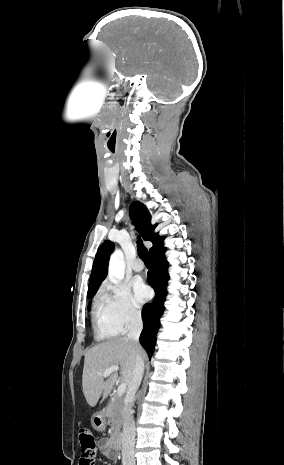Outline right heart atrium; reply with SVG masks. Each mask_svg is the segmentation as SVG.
<instances>
[{
	"mask_svg": "<svg viewBox=\"0 0 284 465\" xmlns=\"http://www.w3.org/2000/svg\"><path fill=\"white\" fill-rule=\"evenodd\" d=\"M96 299L106 307L121 331L129 330L141 321L142 310L131 301L128 289L123 285L106 281Z\"/></svg>",
	"mask_w": 284,
	"mask_h": 465,
	"instance_id": "d8ad5b80",
	"label": "right heart atrium"
}]
</instances>
